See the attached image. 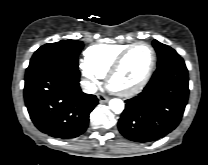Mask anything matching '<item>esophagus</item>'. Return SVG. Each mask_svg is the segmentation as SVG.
Here are the masks:
<instances>
[{
  "label": "esophagus",
  "instance_id": "obj_1",
  "mask_svg": "<svg viewBox=\"0 0 208 165\" xmlns=\"http://www.w3.org/2000/svg\"><path fill=\"white\" fill-rule=\"evenodd\" d=\"M98 99L100 103H106L109 101V97L105 96V95H98Z\"/></svg>",
  "mask_w": 208,
  "mask_h": 165
}]
</instances>
